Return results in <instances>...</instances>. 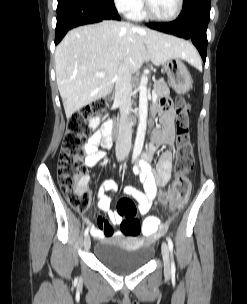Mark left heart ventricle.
Here are the masks:
<instances>
[{
  "instance_id": "obj_1",
  "label": "left heart ventricle",
  "mask_w": 247,
  "mask_h": 304,
  "mask_svg": "<svg viewBox=\"0 0 247 304\" xmlns=\"http://www.w3.org/2000/svg\"><path fill=\"white\" fill-rule=\"evenodd\" d=\"M148 4L158 17H169L177 8V0H148Z\"/></svg>"
}]
</instances>
